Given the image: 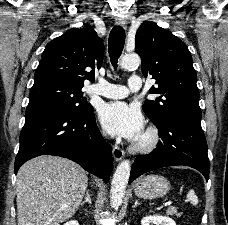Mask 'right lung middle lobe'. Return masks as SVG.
<instances>
[{"label":"right lung middle lobe","mask_w":228,"mask_h":225,"mask_svg":"<svg viewBox=\"0 0 228 225\" xmlns=\"http://www.w3.org/2000/svg\"><path fill=\"white\" fill-rule=\"evenodd\" d=\"M81 87L61 82H45L33 85L29 95L27 110L44 106H62L76 112H86L92 108L85 103Z\"/></svg>","instance_id":"obj_1"}]
</instances>
